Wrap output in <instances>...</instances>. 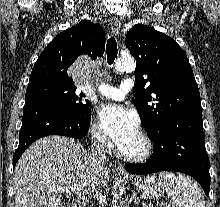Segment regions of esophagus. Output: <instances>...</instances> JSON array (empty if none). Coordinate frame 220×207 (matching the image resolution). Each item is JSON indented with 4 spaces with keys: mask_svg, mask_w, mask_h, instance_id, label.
Instances as JSON below:
<instances>
[{
    "mask_svg": "<svg viewBox=\"0 0 220 207\" xmlns=\"http://www.w3.org/2000/svg\"><path fill=\"white\" fill-rule=\"evenodd\" d=\"M120 26H121L120 21L117 18H115V17L111 18V29L115 35H117L119 33ZM116 171L119 174L127 175V172H126L124 166L121 164H118L116 166Z\"/></svg>",
    "mask_w": 220,
    "mask_h": 207,
    "instance_id": "1",
    "label": "esophagus"
}]
</instances>
